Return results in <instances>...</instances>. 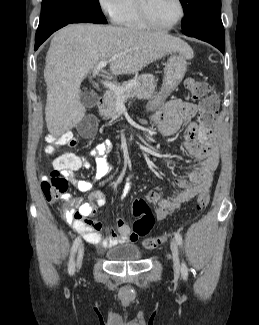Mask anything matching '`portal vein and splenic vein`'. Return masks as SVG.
Instances as JSON below:
<instances>
[{"label": "portal vein and splenic vein", "mask_w": 259, "mask_h": 325, "mask_svg": "<svg viewBox=\"0 0 259 325\" xmlns=\"http://www.w3.org/2000/svg\"><path fill=\"white\" fill-rule=\"evenodd\" d=\"M110 61L108 60H103V61H100L97 66L93 69V72H92V75L93 77H95L97 75V73L103 69L104 67H106V65L109 63ZM103 85L105 87H107L108 89H110L111 91L115 92L118 96V99L119 100H123V92L125 89H128V88H131L132 86H134L136 84L135 81H131L127 84V86L125 88H122L120 86H117L116 84H114L113 82L111 81H103L102 82Z\"/></svg>", "instance_id": "obj_1"}]
</instances>
